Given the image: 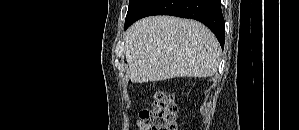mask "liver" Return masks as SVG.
<instances>
[{
	"instance_id": "1",
	"label": "liver",
	"mask_w": 299,
	"mask_h": 130,
	"mask_svg": "<svg viewBox=\"0 0 299 130\" xmlns=\"http://www.w3.org/2000/svg\"><path fill=\"white\" fill-rule=\"evenodd\" d=\"M128 73L135 83L175 77H211L217 73L220 46L214 34L195 20L151 16L125 33Z\"/></svg>"
}]
</instances>
